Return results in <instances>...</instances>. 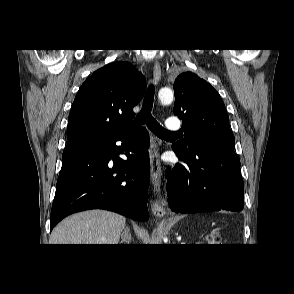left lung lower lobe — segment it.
Returning a JSON list of instances; mask_svg holds the SVG:
<instances>
[{
  "label": "left lung lower lobe",
  "instance_id": "1",
  "mask_svg": "<svg viewBox=\"0 0 294 294\" xmlns=\"http://www.w3.org/2000/svg\"><path fill=\"white\" fill-rule=\"evenodd\" d=\"M172 149L185 165L176 164L168 172L167 195L176 213L244 208V183L240 160L233 149L195 145Z\"/></svg>",
  "mask_w": 294,
  "mask_h": 294
}]
</instances>
